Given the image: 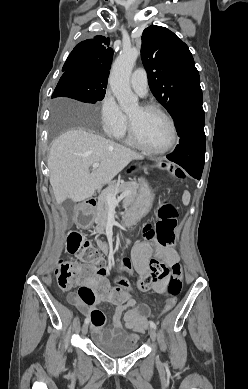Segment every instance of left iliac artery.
I'll return each instance as SVG.
<instances>
[{"instance_id":"left-iliac-artery-1","label":"left iliac artery","mask_w":248,"mask_h":389,"mask_svg":"<svg viewBox=\"0 0 248 389\" xmlns=\"http://www.w3.org/2000/svg\"><path fill=\"white\" fill-rule=\"evenodd\" d=\"M150 326H151L152 328H154V329L157 328L156 324H155L153 321H150Z\"/></svg>"}]
</instances>
